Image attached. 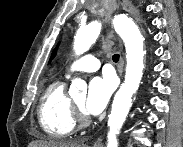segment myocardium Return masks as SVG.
<instances>
[{"mask_svg":"<svg viewBox=\"0 0 183 147\" xmlns=\"http://www.w3.org/2000/svg\"><path fill=\"white\" fill-rule=\"evenodd\" d=\"M75 121L79 122L81 126H85L90 122L88 115L84 109L78 106L75 102H72Z\"/></svg>","mask_w":183,"mask_h":147,"instance_id":"myocardium-1","label":"myocardium"}]
</instances>
